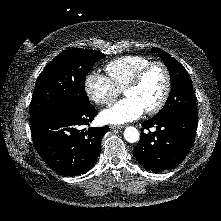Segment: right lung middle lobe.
I'll return each instance as SVG.
<instances>
[{"mask_svg": "<svg viewBox=\"0 0 221 221\" xmlns=\"http://www.w3.org/2000/svg\"><path fill=\"white\" fill-rule=\"evenodd\" d=\"M105 54L87 49H67L39 75L30 103V124L62 107L90 105L85 92L88 70Z\"/></svg>", "mask_w": 221, "mask_h": 221, "instance_id": "obj_1", "label": "right lung middle lobe"}]
</instances>
